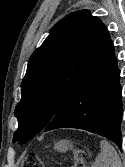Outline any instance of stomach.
Returning <instances> with one entry per match:
<instances>
[{"instance_id": "0dacf381", "label": "stomach", "mask_w": 125, "mask_h": 167, "mask_svg": "<svg viewBox=\"0 0 125 167\" xmlns=\"http://www.w3.org/2000/svg\"><path fill=\"white\" fill-rule=\"evenodd\" d=\"M70 148H72V143H70L68 140H61L55 143V149L60 152H66Z\"/></svg>"}]
</instances>
